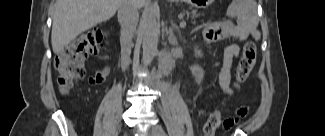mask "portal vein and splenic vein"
I'll use <instances>...</instances> for the list:
<instances>
[{
  "mask_svg": "<svg viewBox=\"0 0 325 136\" xmlns=\"http://www.w3.org/2000/svg\"><path fill=\"white\" fill-rule=\"evenodd\" d=\"M185 25H186L185 21H182V22L180 23V26H181V27H184Z\"/></svg>",
  "mask_w": 325,
  "mask_h": 136,
  "instance_id": "1",
  "label": "portal vein and splenic vein"
}]
</instances>
